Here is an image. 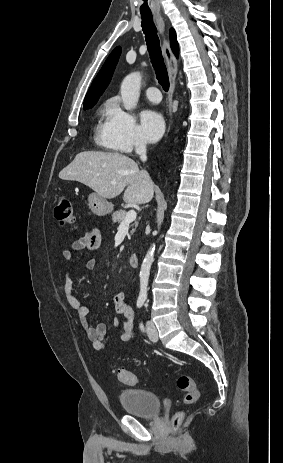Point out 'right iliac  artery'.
I'll list each match as a JSON object with an SVG mask.
<instances>
[{
    "instance_id": "82829eb1",
    "label": "right iliac artery",
    "mask_w": 283,
    "mask_h": 463,
    "mask_svg": "<svg viewBox=\"0 0 283 463\" xmlns=\"http://www.w3.org/2000/svg\"><path fill=\"white\" fill-rule=\"evenodd\" d=\"M145 300L144 299H138L137 300V307L141 308L144 305Z\"/></svg>"
}]
</instances>
